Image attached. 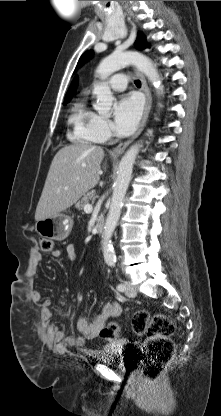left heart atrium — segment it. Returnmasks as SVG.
Instances as JSON below:
<instances>
[{
    "instance_id": "obj_1",
    "label": "left heart atrium",
    "mask_w": 221,
    "mask_h": 416,
    "mask_svg": "<svg viewBox=\"0 0 221 416\" xmlns=\"http://www.w3.org/2000/svg\"><path fill=\"white\" fill-rule=\"evenodd\" d=\"M142 101L136 94L120 98L114 109L115 129L120 134L131 133L138 125L142 115Z\"/></svg>"
}]
</instances>
